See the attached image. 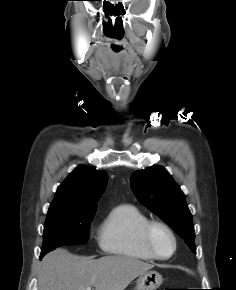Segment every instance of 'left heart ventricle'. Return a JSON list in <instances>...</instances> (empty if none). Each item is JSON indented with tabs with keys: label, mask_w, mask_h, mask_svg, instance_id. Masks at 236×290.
Masks as SVG:
<instances>
[{
	"label": "left heart ventricle",
	"mask_w": 236,
	"mask_h": 290,
	"mask_svg": "<svg viewBox=\"0 0 236 290\" xmlns=\"http://www.w3.org/2000/svg\"><path fill=\"white\" fill-rule=\"evenodd\" d=\"M153 244L160 255H169L173 249V242L170 236L162 229H155L153 233Z\"/></svg>",
	"instance_id": "obj_1"
}]
</instances>
